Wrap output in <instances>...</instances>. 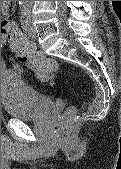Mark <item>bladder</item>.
<instances>
[{
	"label": "bladder",
	"mask_w": 121,
	"mask_h": 169,
	"mask_svg": "<svg viewBox=\"0 0 121 169\" xmlns=\"http://www.w3.org/2000/svg\"><path fill=\"white\" fill-rule=\"evenodd\" d=\"M1 104L7 116L22 121L39 120L53 108L51 98L27 84L14 71L1 74Z\"/></svg>",
	"instance_id": "bladder-1"
}]
</instances>
